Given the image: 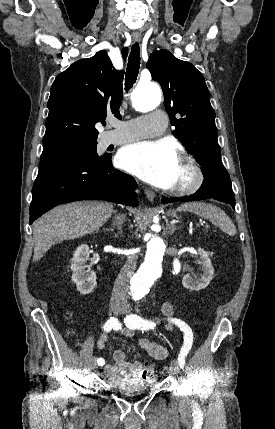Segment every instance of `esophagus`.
Listing matches in <instances>:
<instances>
[{"label": "esophagus", "instance_id": "34e87169", "mask_svg": "<svg viewBox=\"0 0 275 429\" xmlns=\"http://www.w3.org/2000/svg\"><path fill=\"white\" fill-rule=\"evenodd\" d=\"M141 39V37L139 35H133L132 36V41L133 42H139ZM145 194L146 197L148 198V200L153 201L155 198V193L152 190L146 189L145 190Z\"/></svg>", "mask_w": 275, "mask_h": 429}]
</instances>
